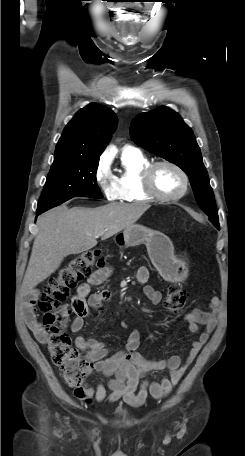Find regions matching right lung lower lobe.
Listing matches in <instances>:
<instances>
[{
  "mask_svg": "<svg viewBox=\"0 0 245 456\" xmlns=\"http://www.w3.org/2000/svg\"><path fill=\"white\" fill-rule=\"evenodd\" d=\"M41 214V212H37V215Z\"/></svg>",
  "mask_w": 245,
  "mask_h": 456,
  "instance_id": "1",
  "label": "right lung lower lobe"
}]
</instances>
